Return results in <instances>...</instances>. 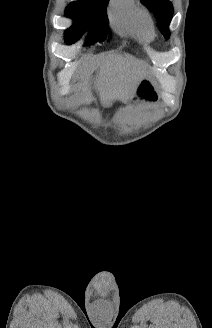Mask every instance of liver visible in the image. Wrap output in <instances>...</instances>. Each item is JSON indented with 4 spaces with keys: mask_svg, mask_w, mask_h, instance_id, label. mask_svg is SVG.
I'll list each match as a JSON object with an SVG mask.
<instances>
[{
    "mask_svg": "<svg viewBox=\"0 0 212 328\" xmlns=\"http://www.w3.org/2000/svg\"><path fill=\"white\" fill-rule=\"evenodd\" d=\"M132 64H134L132 59L126 63L120 55H102V65L96 86L104 100L122 99L126 95L133 82V77L128 70ZM85 73V69L81 71V74Z\"/></svg>",
    "mask_w": 212,
    "mask_h": 328,
    "instance_id": "obj_1",
    "label": "liver"
}]
</instances>
